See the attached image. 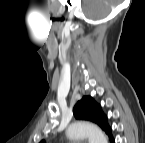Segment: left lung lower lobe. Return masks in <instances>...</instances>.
<instances>
[{
	"instance_id": "left-lung-lower-lobe-1",
	"label": "left lung lower lobe",
	"mask_w": 145,
	"mask_h": 143,
	"mask_svg": "<svg viewBox=\"0 0 145 143\" xmlns=\"http://www.w3.org/2000/svg\"><path fill=\"white\" fill-rule=\"evenodd\" d=\"M109 138H110V142H111V143H114L113 137H109Z\"/></svg>"
}]
</instances>
